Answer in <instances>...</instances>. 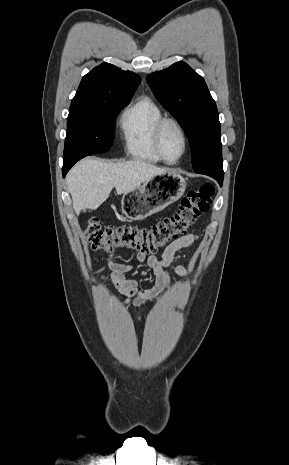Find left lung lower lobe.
Here are the masks:
<instances>
[{
	"instance_id": "1",
	"label": "left lung lower lobe",
	"mask_w": 289,
	"mask_h": 465,
	"mask_svg": "<svg viewBox=\"0 0 289 465\" xmlns=\"http://www.w3.org/2000/svg\"><path fill=\"white\" fill-rule=\"evenodd\" d=\"M218 182H219L220 185H222V183H223V177L218 178Z\"/></svg>"
}]
</instances>
